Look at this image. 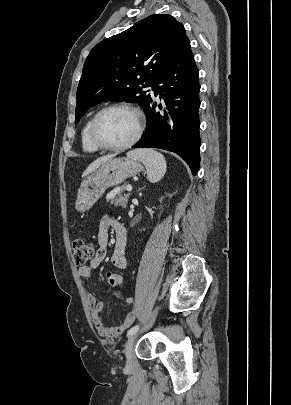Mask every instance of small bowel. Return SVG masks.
<instances>
[{"instance_id":"1","label":"small bowel","mask_w":291,"mask_h":405,"mask_svg":"<svg viewBox=\"0 0 291 405\" xmlns=\"http://www.w3.org/2000/svg\"><path fill=\"white\" fill-rule=\"evenodd\" d=\"M112 229L115 234V245L111 255L112 264L119 268L124 269L127 266V259L125 255L126 248V230L122 224L113 219L109 215H104L100 219L98 231V244L99 248L95 256L92 258L88 265L79 268V274L82 277H90L95 269L104 261L107 255V245L109 240V229ZM118 296L124 298L128 306H134V299L125 296L122 292H117ZM87 300L90 305L91 317L98 334L104 338H113L125 332L135 320V312L131 311L127 314L126 318L116 326L107 327L101 319V312L104 309L103 302L96 299L93 294L87 295Z\"/></svg>"}]
</instances>
